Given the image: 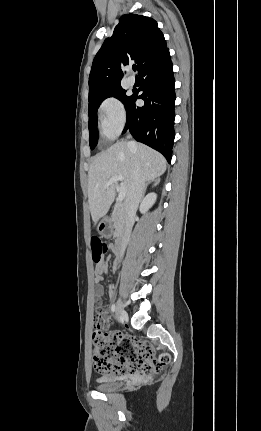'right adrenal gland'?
<instances>
[{"label": "right adrenal gland", "mask_w": 261, "mask_h": 431, "mask_svg": "<svg viewBox=\"0 0 261 431\" xmlns=\"http://www.w3.org/2000/svg\"><path fill=\"white\" fill-rule=\"evenodd\" d=\"M159 182H160V178H156V179H154V180H151V181L147 182V183H146V185H145V187H144L143 197H144V195H145V192H146L147 186H148L149 184H152V187H153V186L158 185V184H159ZM143 197H142V199H143Z\"/></svg>", "instance_id": "1"}]
</instances>
